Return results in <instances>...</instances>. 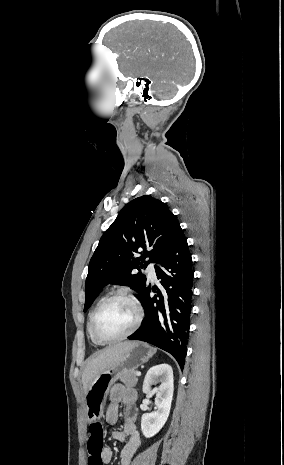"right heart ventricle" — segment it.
I'll use <instances>...</instances> for the list:
<instances>
[{
  "instance_id": "obj_1",
  "label": "right heart ventricle",
  "mask_w": 284,
  "mask_h": 465,
  "mask_svg": "<svg viewBox=\"0 0 284 465\" xmlns=\"http://www.w3.org/2000/svg\"><path fill=\"white\" fill-rule=\"evenodd\" d=\"M106 298V296H101L96 302L95 304L93 305V307L91 308L90 312H89V315H88V318H87V324H86V331H87V335H88V338L90 340V342L94 345H98L92 338L91 336V332H90V324H91V319H92V316L96 310V308L99 306V304Z\"/></svg>"
}]
</instances>
